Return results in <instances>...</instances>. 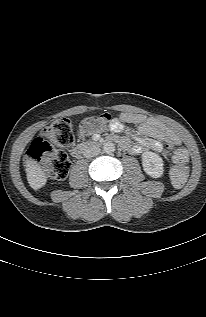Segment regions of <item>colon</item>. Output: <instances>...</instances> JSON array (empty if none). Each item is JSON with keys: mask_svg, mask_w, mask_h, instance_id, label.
I'll use <instances>...</instances> for the list:
<instances>
[{"mask_svg": "<svg viewBox=\"0 0 206 317\" xmlns=\"http://www.w3.org/2000/svg\"><path fill=\"white\" fill-rule=\"evenodd\" d=\"M110 119L107 113L88 117L82 121L80 133L90 135L102 132ZM73 142L72 123L69 119L62 118L42 130L40 135L32 141L27 155L29 159L40 163L50 178L62 180L69 174L71 164L65 152L57 147H69ZM174 163L171 180L175 186H181L188 177V154L185 149L176 150Z\"/></svg>", "mask_w": 206, "mask_h": 317, "instance_id": "1", "label": "colon"}]
</instances>
